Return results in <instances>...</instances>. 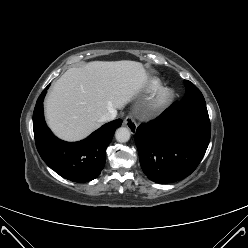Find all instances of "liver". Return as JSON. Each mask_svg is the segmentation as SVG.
<instances>
[{"mask_svg": "<svg viewBox=\"0 0 248 248\" xmlns=\"http://www.w3.org/2000/svg\"><path fill=\"white\" fill-rule=\"evenodd\" d=\"M147 79L144 66L135 61H94L70 68L47 96V123L58 137L80 140L101 126L100 118L109 110L128 103Z\"/></svg>", "mask_w": 248, "mask_h": 248, "instance_id": "obj_1", "label": "liver"}]
</instances>
